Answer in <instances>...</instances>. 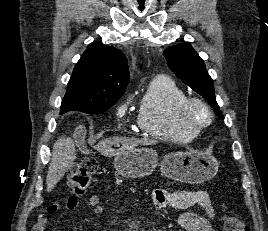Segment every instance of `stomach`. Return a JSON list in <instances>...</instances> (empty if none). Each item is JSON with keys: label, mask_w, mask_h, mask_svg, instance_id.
<instances>
[{"label": "stomach", "mask_w": 268, "mask_h": 231, "mask_svg": "<svg viewBox=\"0 0 268 231\" xmlns=\"http://www.w3.org/2000/svg\"><path fill=\"white\" fill-rule=\"evenodd\" d=\"M158 165V154L147 147L120 151L114 159V168L125 178H141L153 173ZM219 162L213 157L196 151L171 152L160 163L165 177L190 184L212 179L218 171Z\"/></svg>", "instance_id": "1"}]
</instances>
